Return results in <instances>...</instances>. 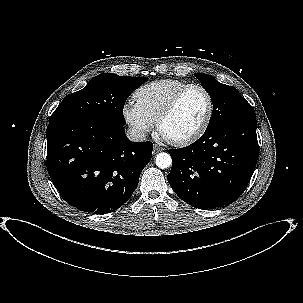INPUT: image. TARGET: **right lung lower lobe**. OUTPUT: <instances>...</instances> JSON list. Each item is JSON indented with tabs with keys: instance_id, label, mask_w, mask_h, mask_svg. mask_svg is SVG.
Returning a JSON list of instances; mask_svg holds the SVG:
<instances>
[{
	"instance_id": "1",
	"label": "right lung lower lobe",
	"mask_w": 303,
	"mask_h": 303,
	"mask_svg": "<svg viewBox=\"0 0 303 303\" xmlns=\"http://www.w3.org/2000/svg\"><path fill=\"white\" fill-rule=\"evenodd\" d=\"M46 135V166L58 192L94 214L123 205L152 156L151 142H132L123 126L99 120L49 123Z\"/></svg>"
}]
</instances>
